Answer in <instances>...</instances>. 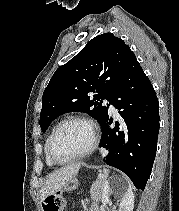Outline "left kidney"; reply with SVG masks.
Here are the masks:
<instances>
[{
	"mask_svg": "<svg viewBox=\"0 0 179 211\" xmlns=\"http://www.w3.org/2000/svg\"><path fill=\"white\" fill-rule=\"evenodd\" d=\"M116 188V183L112 181L111 183H105L102 191V203L108 204L110 202V195L113 192V189ZM121 200L119 209L117 211H133L134 208V194L131 188H124L121 191Z\"/></svg>",
	"mask_w": 179,
	"mask_h": 211,
	"instance_id": "1",
	"label": "left kidney"
}]
</instances>
